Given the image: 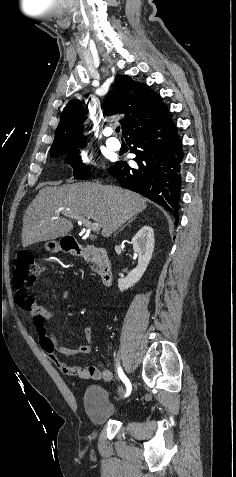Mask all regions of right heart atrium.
I'll use <instances>...</instances> for the list:
<instances>
[{
	"label": "right heart atrium",
	"instance_id": "obj_1",
	"mask_svg": "<svg viewBox=\"0 0 236 477\" xmlns=\"http://www.w3.org/2000/svg\"><path fill=\"white\" fill-rule=\"evenodd\" d=\"M77 163L82 168H89L93 163L92 156L84 150H79L77 154Z\"/></svg>",
	"mask_w": 236,
	"mask_h": 477
}]
</instances>
